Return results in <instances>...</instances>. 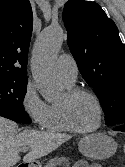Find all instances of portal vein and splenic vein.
Returning <instances> with one entry per match:
<instances>
[{
    "mask_svg": "<svg viewBox=\"0 0 125 167\" xmlns=\"http://www.w3.org/2000/svg\"><path fill=\"white\" fill-rule=\"evenodd\" d=\"M28 149H29V147H22V148H21V150H22L23 152L28 151Z\"/></svg>",
    "mask_w": 125,
    "mask_h": 167,
    "instance_id": "1",
    "label": "portal vein and splenic vein"
}]
</instances>
